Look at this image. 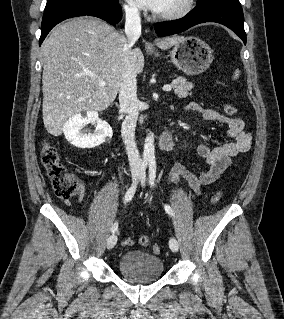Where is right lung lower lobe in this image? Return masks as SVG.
<instances>
[{"instance_id": "1", "label": "right lung lower lobe", "mask_w": 284, "mask_h": 319, "mask_svg": "<svg viewBox=\"0 0 284 319\" xmlns=\"http://www.w3.org/2000/svg\"><path fill=\"white\" fill-rule=\"evenodd\" d=\"M85 15L101 18L110 24H117L122 18V10L118 2L115 4L86 2L60 5L44 12L39 45L56 24L68 18Z\"/></svg>"}]
</instances>
